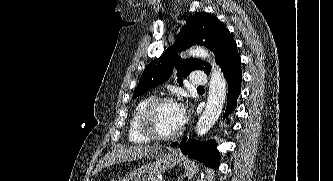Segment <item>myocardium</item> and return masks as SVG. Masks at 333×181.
I'll return each instance as SVG.
<instances>
[{
	"instance_id": "1",
	"label": "myocardium",
	"mask_w": 333,
	"mask_h": 181,
	"mask_svg": "<svg viewBox=\"0 0 333 181\" xmlns=\"http://www.w3.org/2000/svg\"><path fill=\"white\" fill-rule=\"evenodd\" d=\"M164 103L176 104L173 97L160 96L152 98L144 107L140 116V127L143 133L153 140L168 141L177 138L181 135L183 129L180 127L177 131L170 134H162L158 132L154 126L153 116L158 107Z\"/></svg>"
}]
</instances>
